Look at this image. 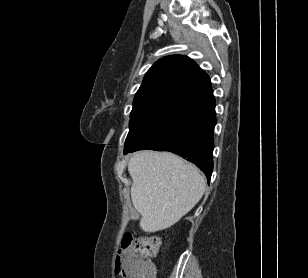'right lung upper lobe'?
<instances>
[{
	"mask_svg": "<svg viewBox=\"0 0 308 278\" xmlns=\"http://www.w3.org/2000/svg\"><path fill=\"white\" fill-rule=\"evenodd\" d=\"M213 94L209 76L182 55L158 60L137 91L130 117L151 113L181 114Z\"/></svg>",
	"mask_w": 308,
	"mask_h": 278,
	"instance_id": "right-lung-upper-lobe-1",
	"label": "right lung upper lobe"
}]
</instances>
